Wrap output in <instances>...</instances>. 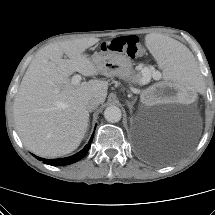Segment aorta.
I'll return each mask as SVG.
<instances>
[{"instance_id":"762f6f07","label":"aorta","mask_w":215,"mask_h":215,"mask_svg":"<svg viewBox=\"0 0 215 215\" xmlns=\"http://www.w3.org/2000/svg\"><path fill=\"white\" fill-rule=\"evenodd\" d=\"M105 119L110 123H116L121 120L122 112L117 106H108L104 111Z\"/></svg>"}]
</instances>
